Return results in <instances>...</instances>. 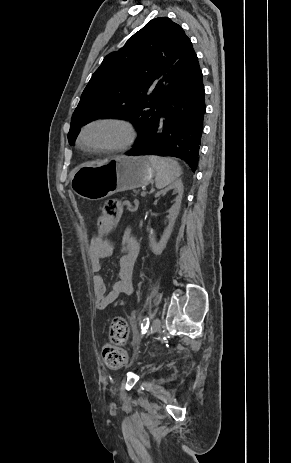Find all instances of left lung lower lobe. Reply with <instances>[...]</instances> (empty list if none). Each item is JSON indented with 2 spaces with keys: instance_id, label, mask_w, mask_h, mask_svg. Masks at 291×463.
<instances>
[{
  "instance_id": "0a47b994",
  "label": "left lung lower lobe",
  "mask_w": 291,
  "mask_h": 463,
  "mask_svg": "<svg viewBox=\"0 0 291 463\" xmlns=\"http://www.w3.org/2000/svg\"><path fill=\"white\" fill-rule=\"evenodd\" d=\"M205 90L200 68L173 89L159 108L156 118L126 155L176 157L192 171L199 151L206 112Z\"/></svg>"
}]
</instances>
